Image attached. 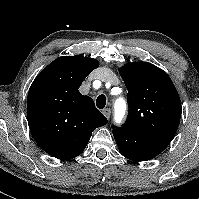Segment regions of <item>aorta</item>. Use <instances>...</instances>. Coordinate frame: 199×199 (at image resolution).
Listing matches in <instances>:
<instances>
[{"instance_id": "762f6f07", "label": "aorta", "mask_w": 199, "mask_h": 199, "mask_svg": "<svg viewBox=\"0 0 199 199\" xmlns=\"http://www.w3.org/2000/svg\"><path fill=\"white\" fill-rule=\"evenodd\" d=\"M126 102L124 99L119 98L115 102V121L121 123L126 112Z\"/></svg>"}]
</instances>
